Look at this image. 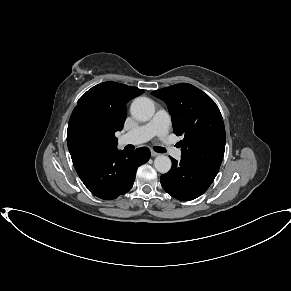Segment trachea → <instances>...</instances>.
I'll return each mask as SVG.
<instances>
[{"instance_id": "3493384b", "label": "trachea", "mask_w": 291, "mask_h": 291, "mask_svg": "<svg viewBox=\"0 0 291 291\" xmlns=\"http://www.w3.org/2000/svg\"><path fill=\"white\" fill-rule=\"evenodd\" d=\"M154 150L158 153H165L166 152L165 148L160 147V146H155Z\"/></svg>"}]
</instances>
